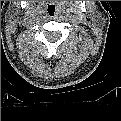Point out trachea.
Listing matches in <instances>:
<instances>
[{
    "label": "trachea",
    "instance_id": "3493384b",
    "mask_svg": "<svg viewBox=\"0 0 121 121\" xmlns=\"http://www.w3.org/2000/svg\"><path fill=\"white\" fill-rule=\"evenodd\" d=\"M47 13L50 17H54L57 14V9L54 5H49L47 8Z\"/></svg>",
    "mask_w": 121,
    "mask_h": 121
}]
</instances>
